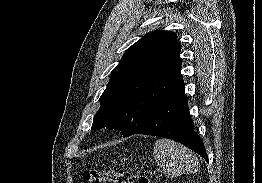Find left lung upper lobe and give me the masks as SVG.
I'll list each match as a JSON object with an SVG mask.
<instances>
[{
	"label": "left lung upper lobe",
	"instance_id": "5c2ea615",
	"mask_svg": "<svg viewBox=\"0 0 262 183\" xmlns=\"http://www.w3.org/2000/svg\"><path fill=\"white\" fill-rule=\"evenodd\" d=\"M180 50L176 34L163 30L146 34L128 48L111 72L92 129H120L123 137L141 130L183 84Z\"/></svg>",
	"mask_w": 262,
	"mask_h": 183
}]
</instances>
